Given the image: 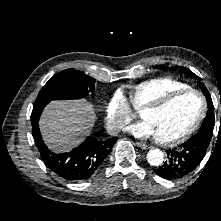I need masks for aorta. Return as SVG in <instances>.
Here are the masks:
<instances>
[{
  "label": "aorta",
  "instance_id": "1",
  "mask_svg": "<svg viewBox=\"0 0 221 221\" xmlns=\"http://www.w3.org/2000/svg\"><path fill=\"white\" fill-rule=\"evenodd\" d=\"M164 154L160 149H151L147 153V161L152 166H159L163 163Z\"/></svg>",
  "mask_w": 221,
  "mask_h": 221
}]
</instances>
